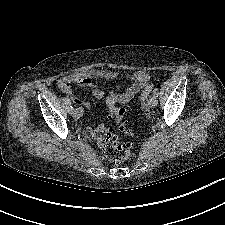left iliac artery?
<instances>
[{
    "label": "left iliac artery",
    "mask_w": 225,
    "mask_h": 225,
    "mask_svg": "<svg viewBox=\"0 0 225 225\" xmlns=\"http://www.w3.org/2000/svg\"><path fill=\"white\" fill-rule=\"evenodd\" d=\"M154 94H155L156 96H158V89H157V88L154 89Z\"/></svg>",
    "instance_id": "44dca946"
}]
</instances>
